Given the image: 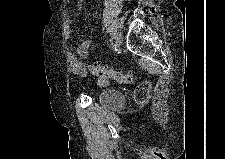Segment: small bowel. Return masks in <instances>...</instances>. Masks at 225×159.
Returning <instances> with one entry per match:
<instances>
[{"instance_id": "small-bowel-1", "label": "small bowel", "mask_w": 225, "mask_h": 159, "mask_svg": "<svg viewBox=\"0 0 225 159\" xmlns=\"http://www.w3.org/2000/svg\"><path fill=\"white\" fill-rule=\"evenodd\" d=\"M91 41L83 40L74 51L69 52V64L73 73L85 76L87 69L81 59H86L89 56Z\"/></svg>"}]
</instances>
